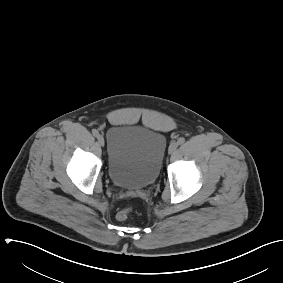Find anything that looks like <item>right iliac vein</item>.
Segmentation results:
<instances>
[{
    "instance_id": "63e3f726",
    "label": "right iliac vein",
    "mask_w": 283,
    "mask_h": 283,
    "mask_svg": "<svg viewBox=\"0 0 283 283\" xmlns=\"http://www.w3.org/2000/svg\"><path fill=\"white\" fill-rule=\"evenodd\" d=\"M97 139H98L99 145H100V146H104V138H103L101 135H99V136L97 137Z\"/></svg>"
}]
</instances>
